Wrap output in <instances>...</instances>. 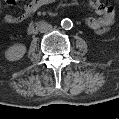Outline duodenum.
I'll return each instance as SVG.
<instances>
[{"label": "duodenum", "instance_id": "duodenum-1", "mask_svg": "<svg viewBox=\"0 0 119 119\" xmlns=\"http://www.w3.org/2000/svg\"><path fill=\"white\" fill-rule=\"evenodd\" d=\"M43 25V22H36L33 23L29 26L28 32L29 34L35 33L36 31H38V29Z\"/></svg>", "mask_w": 119, "mask_h": 119}]
</instances>
